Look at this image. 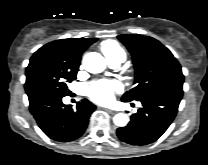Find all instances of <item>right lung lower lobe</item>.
I'll return each mask as SVG.
<instances>
[{
	"label": "right lung lower lobe",
	"instance_id": "right-lung-lower-lobe-1",
	"mask_svg": "<svg viewBox=\"0 0 208 165\" xmlns=\"http://www.w3.org/2000/svg\"><path fill=\"white\" fill-rule=\"evenodd\" d=\"M64 96L47 95L30 103L29 109L38 126L52 140L69 142L79 138L87 128L96 106L83 99L74 111L62 102Z\"/></svg>",
	"mask_w": 208,
	"mask_h": 165
}]
</instances>
